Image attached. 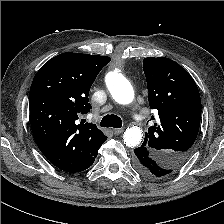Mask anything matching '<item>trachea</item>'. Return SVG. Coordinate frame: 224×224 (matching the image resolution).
<instances>
[{"label": "trachea", "instance_id": "obj_1", "mask_svg": "<svg viewBox=\"0 0 224 224\" xmlns=\"http://www.w3.org/2000/svg\"><path fill=\"white\" fill-rule=\"evenodd\" d=\"M101 127H113V128H121L122 120L117 115H106L102 118L100 122Z\"/></svg>", "mask_w": 224, "mask_h": 224}]
</instances>
